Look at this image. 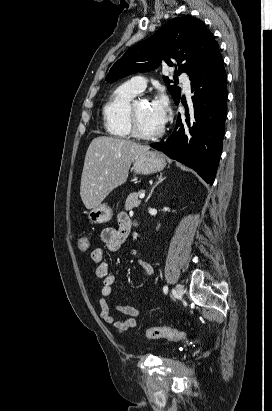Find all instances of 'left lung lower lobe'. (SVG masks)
Returning a JSON list of instances; mask_svg holds the SVG:
<instances>
[{
	"instance_id": "0a47b994",
	"label": "left lung lower lobe",
	"mask_w": 272,
	"mask_h": 411,
	"mask_svg": "<svg viewBox=\"0 0 272 411\" xmlns=\"http://www.w3.org/2000/svg\"><path fill=\"white\" fill-rule=\"evenodd\" d=\"M226 72L218 49L191 80L193 108L179 114L172 135L150 146L194 169L213 184L223 146L226 119ZM182 101V100H181ZM180 99L176 102L178 104Z\"/></svg>"
}]
</instances>
